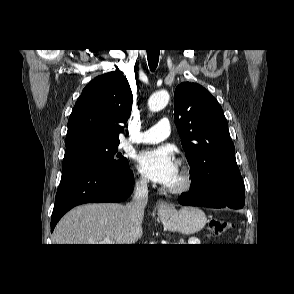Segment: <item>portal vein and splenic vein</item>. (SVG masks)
Here are the masks:
<instances>
[{
	"mask_svg": "<svg viewBox=\"0 0 294 294\" xmlns=\"http://www.w3.org/2000/svg\"><path fill=\"white\" fill-rule=\"evenodd\" d=\"M99 244H114V241L111 239H103Z\"/></svg>",
	"mask_w": 294,
	"mask_h": 294,
	"instance_id": "portal-vein-and-splenic-vein-1",
	"label": "portal vein and splenic vein"
}]
</instances>
